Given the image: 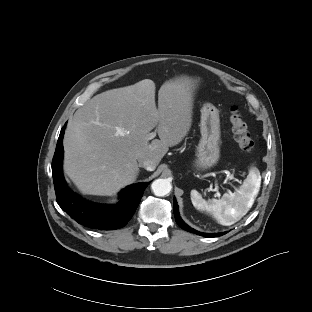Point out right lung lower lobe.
<instances>
[{
	"label": "right lung lower lobe",
	"instance_id": "98d812e1",
	"mask_svg": "<svg viewBox=\"0 0 312 312\" xmlns=\"http://www.w3.org/2000/svg\"><path fill=\"white\" fill-rule=\"evenodd\" d=\"M64 130L65 126L61 129L52 161V175L58 205L72 219L88 228L111 230L125 226L135 213L149 183L128 186L120 192V202L114 205H100L81 198L68 187L62 174Z\"/></svg>",
	"mask_w": 312,
	"mask_h": 312
}]
</instances>
